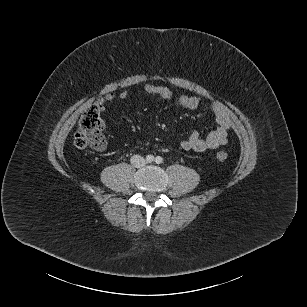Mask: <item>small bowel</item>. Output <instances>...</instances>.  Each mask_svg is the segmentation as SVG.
Masks as SVG:
<instances>
[{"label":"small bowel","mask_w":307,"mask_h":307,"mask_svg":"<svg viewBox=\"0 0 307 307\" xmlns=\"http://www.w3.org/2000/svg\"><path fill=\"white\" fill-rule=\"evenodd\" d=\"M144 92L149 95L158 96L162 99H169L172 97V92L169 88L160 85L148 84L144 87ZM128 97L126 91L121 92L118 96L109 93L106 96L99 98L95 102V106L100 112H103L105 105L114 101L116 98L125 99ZM180 105L188 109H198L201 105L199 98L189 95H181L178 98ZM213 114L215 129L212 130L206 137L200 136L198 132H192L186 139L181 142V147L186 151H195L203 153L207 150H214L220 146H225L228 143V133L231 123L222 108L216 103L209 106Z\"/></svg>","instance_id":"small-bowel-1"}]
</instances>
